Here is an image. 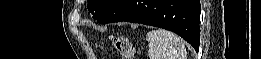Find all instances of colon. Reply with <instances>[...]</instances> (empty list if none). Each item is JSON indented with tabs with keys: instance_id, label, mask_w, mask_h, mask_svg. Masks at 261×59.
Segmentation results:
<instances>
[{
	"instance_id": "1",
	"label": "colon",
	"mask_w": 261,
	"mask_h": 59,
	"mask_svg": "<svg viewBox=\"0 0 261 59\" xmlns=\"http://www.w3.org/2000/svg\"><path fill=\"white\" fill-rule=\"evenodd\" d=\"M112 43L115 47V49L120 53V55L122 56V58H131L129 56L131 47L129 42L127 41V39H125L124 37L118 36V37H114L112 38Z\"/></svg>"
}]
</instances>
